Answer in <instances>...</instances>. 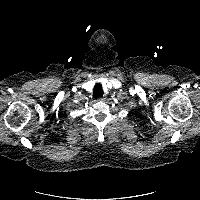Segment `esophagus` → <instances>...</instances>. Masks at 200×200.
<instances>
[{
	"instance_id": "esophagus-1",
	"label": "esophagus",
	"mask_w": 200,
	"mask_h": 200,
	"mask_svg": "<svg viewBox=\"0 0 200 200\" xmlns=\"http://www.w3.org/2000/svg\"><path fill=\"white\" fill-rule=\"evenodd\" d=\"M99 100L103 101V100H104V98H100Z\"/></svg>"
}]
</instances>
